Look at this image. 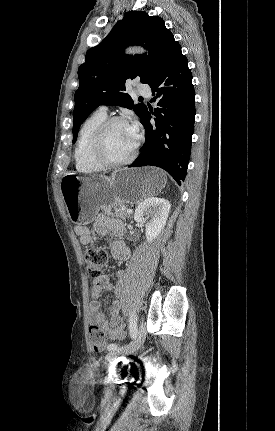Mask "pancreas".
<instances>
[{
	"mask_svg": "<svg viewBox=\"0 0 275 431\" xmlns=\"http://www.w3.org/2000/svg\"><path fill=\"white\" fill-rule=\"evenodd\" d=\"M123 207L124 206L122 204H115L112 206L103 205L102 210L107 215H112V216L117 217V218L126 219L129 217V214L126 212L125 209H123ZM112 209H113V211H112Z\"/></svg>",
	"mask_w": 275,
	"mask_h": 431,
	"instance_id": "cf45deb5",
	"label": "pancreas"
}]
</instances>
